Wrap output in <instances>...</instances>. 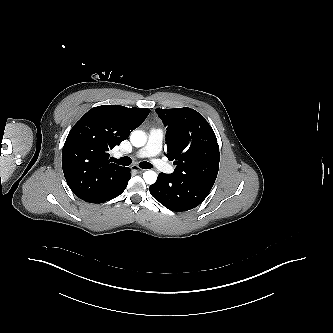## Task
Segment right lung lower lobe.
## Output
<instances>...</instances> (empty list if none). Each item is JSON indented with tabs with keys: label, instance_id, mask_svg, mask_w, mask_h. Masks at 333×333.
Returning <instances> with one entry per match:
<instances>
[{
	"label": "right lung lower lobe",
	"instance_id": "98d812e1",
	"mask_svg": "<svg viewBox=\"0 0 333 333\" xmlns=\"http://www.w3.org/2000/svg\"><path fill=\"white\" fill-rule=\"evenodd\" d=\"M130 178H131L130 169L126 167L123 172L122 180L119 182V184L115 185L110 190L100 194L90 203H103L119 196L126 188Z\"/></svg>",
	"mask_w": 333,
	"mask_h": 333
}]
</instances>
